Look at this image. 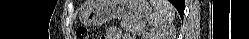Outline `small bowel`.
<instances>
[{
  "label": "small bowel",
  "instance_id": "1",
  "mask_svg": "<svg viewBox=\"0 0 249 39\" xmlns=\"http://www.w3.org/2000/svg\"><path fill=\"white\" fill-rule=\"evenodd\" d=\"M121 34L117 27H110L107 29L106 34L101 39H120Z\"/></svg>",
  "mask_w": 249,
  "mask_h": 39
}]
</instances>
